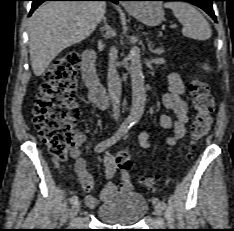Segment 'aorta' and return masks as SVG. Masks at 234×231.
<instances>
[{
	"label": "aorta",
	"instance_id": "obj_1",
	"mask_svg": "<svg viewBox=\"0 0 234 231\" xmlns=\"http://www.w3.org/2000/svg\"><path fill=\"white\" fill-rule=\"evenodd\" d=\"M129 59L132 86V106L128 120L130 122L136 123L141 119L144 113L146 100L141 54L137 47L132 48L129 54Z\"/></svg>",
	"mask_w": 234,
	"mask_h": 231
}]
</instances>
